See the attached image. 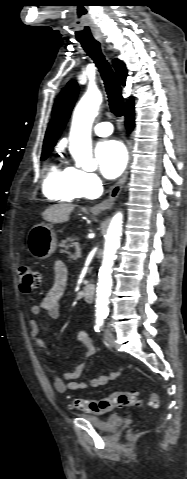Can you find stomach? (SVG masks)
Listing matches in <instances>:
<instances>
[{
	"label": "stomach",
	"mask_w": 187,
	"mask_h": 479,
	"mask_svg": "<svg viewBox=\"0 0 187 479\" xmlns=\"http://www.w3.org/2000/svg\"><path fill=\"white\" fill-rule=\"evenodd\" d=\"M27 246L34 258L38 260L49 258L57 246L56 234L52 226L41 223L32 227L27 236Z\"/></svg>",
	"instance_id": "1"
}]
</instances>
